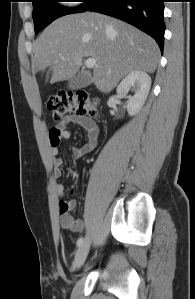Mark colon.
Wrapping results in <instances>:
<instances>
[{
  "mask_svg": "<svg viewBox=\"0 0 195 299\" xmlns=\"http://www.w3.org/2000/svg\"><path fill=\"white\" fill-rule=\"evenodd\" d=\"M46 105L55 121L61 120L69 113L79 116H95L96 114L93 101L84 91L53 95L48 98Z\"/></svg>",
  "mask_w": 195,
  "mask_h": 299,
  "instance_id": "5ec220e1",
  "label": "colon"
}]
</instances>
